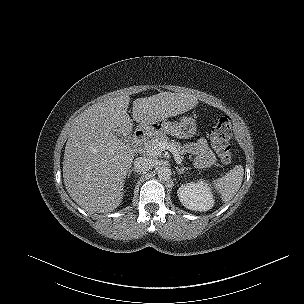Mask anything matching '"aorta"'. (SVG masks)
Returning <instances> with one entry per match:
<instances>
[{
  "label": "aorta",
  "instance_id": "obj_1",
  "mask_svg": "<svg viewBox=\"0 0 304 304\" xmlns=\"http://www.w3.org/2000/svg\"><path fill=\"white\" fill-rule=\"evenodd\" d=\"M172 175L171 169L168 167H160L158 169V178L162 181H167Z\"/></svg>",
  "mask_w": 304,
  "mask_h": 304
}]
</instances>
